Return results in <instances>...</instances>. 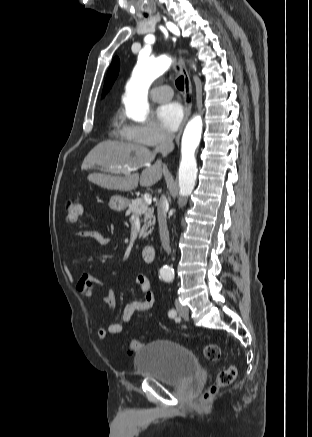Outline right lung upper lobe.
I'll return each mask as SVG.
<instances>
[{"label": "right lung upper lobe", "instance_id": "obj_1", "mask_svg": "<svg viewBox=\"0 0 312 437\" xmlns=\"http://www.w3.org/2000/svg\"><path fill=\"white\" fill-rule=\"evenodd\" d=\"M118 71H119V59H118V57H115L114 60L112 61L111 65H110V68H109L108 73H107V77L105 79V84H104V88H103V91H102V95L103 96L111 88L114 80L118 76Z\"/></svg>", "mask_w": 312, "mask_h": 437}]
</instances>
